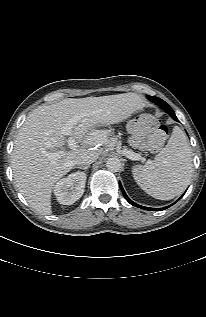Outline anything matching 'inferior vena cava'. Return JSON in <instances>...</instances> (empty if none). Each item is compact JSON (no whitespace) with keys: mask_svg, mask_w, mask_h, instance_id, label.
I'll list each match as a JSON object with an SVG mask.
<instances>
[{"mask_svg":"<svg viewBox=\"0 0 206 317\" xmlns=\"http://www.w3.org/2000/svg\"><path fill=\"white\" fill-rule=\"evenodd\" d=\"M98 158V155L92 152H87L77 158L75 163L78 166H87L93 163Z\"/></svg>","mask_w":206,"mask_h":317,"instance_id":"1","label":"inferior vena cava"}]
</instances>
